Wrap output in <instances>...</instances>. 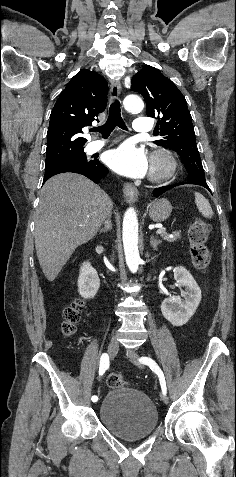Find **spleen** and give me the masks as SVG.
Here are the masks:
<instances>
[{"instance_id": "obj_1", "label": "spleen", "mask_w": 236, "mask_h": 477, "mask_svg": "<svg viewBox=\"0 0 236 477\" xmlns=\"http://www.w3.org/2000/svg\"><path fill=\"white\" fill-rule=\"evenodd\" d=\"M195 204L198 208V211L202 214V216L206 218H212L213 210L209 201L200 193L195 192Z\"/></svg>"}]
</instances>
